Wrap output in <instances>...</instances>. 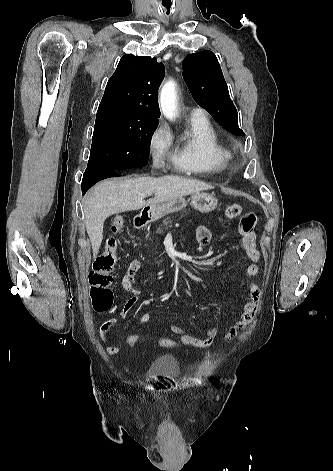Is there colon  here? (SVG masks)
Instances as JSON below:
<instances>
[{
  "label": "colon",
  "instance_id": "5ec220e1",
  "mask_svg": "<svg viewBox=\"0 0 333 471\" xmlns=\"http://www.w3.org/2000/svg\"><path fill=\"white\" fill-rule=\"evenodd\" d=\"M242 212L240 204H232L225 208V216L228 218L238 217ZM124 225L122 216H116L111 225L112 232L117 234ZM118 251V240L115 236L109 237L104 245L102 253L96 258L93 268L89 273L90 296L92 305L97 311H107L113 304V292L111 285L113 281L112 272L115 267ZM142 339L140 334H130L125 343L128 347L136 346ZM157 344L163 348H175L180 343L171 338H158Z\"/></svg>",
  "mask_w": 333,
  "mask_h": 471
}]
</instances>
